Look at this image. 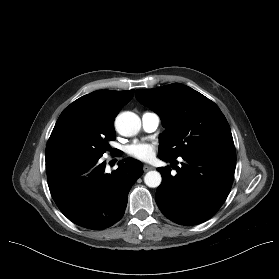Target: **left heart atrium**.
<instances>
[{
    "label": "left heart atrium",
    "instance_id": "left-heart-atrium-1",
    "mask_svg": "<svg viewBox=\"0 0 279 279\" xmlns=\"http://www.w3.org/2000/svg\"><path fill=\"white\" fill-rule=\"evenodd\" d=\"M127 153L141 161H150L154 156V147L149 143H134L131 144Z\"/></svg>",
    "mask_w": 279,
    "mask_h": 279
}]
</instances>
